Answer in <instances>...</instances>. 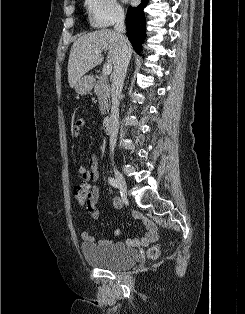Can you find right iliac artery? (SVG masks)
Here are the masks:
<instances>
[{"label": "right iliac artery", "instance_id": "82829eb1", "mask_svg": "<svg viewBox=\"0 0 245 314\" xmlns=\"http://www.w3.org/2000/svg\"><path fill=\"white\" fill-rule=\"evenodd\" d=\"M108 182H109V184L111 185V186H113V187H115V188H117L119 185H118V182L114 179V178H112V177H110V178H108Z\"/></svg>", "mask_w": 245, "mask_h": 314}]
</instances>
